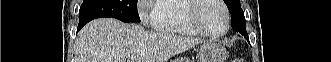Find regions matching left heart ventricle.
Listing matches in <instances>:
<instances>
[{"label":"left heart ventricle","mask_w":331,"mask_h":62,"mask_svg":"<svg viewBox=\"0 0 331 62\" xmlns=\"http://www.w3.org/2000/svg\"><path fill=\"white\" fill-rule=\"evenodd\" d=\"M197 17L210 33L217 34L224 30L225 19L222 8L214 1H205L198 9Z\"/></svg>","instance_id":"1"}]
</instances>
